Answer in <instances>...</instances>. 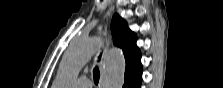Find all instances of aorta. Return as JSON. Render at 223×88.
Instances as JSON below:
<instances>
[{"label":"aorta","mask_w":223,"mask_h":88,"mask_svg":"<svg viewBox=\"0 0 223 88\" xmlns=\"http://www.w3.org/2000/svg\"><path fill=\"white\" fill-rule=\"evenodd\" d=\"M97 38L74 39L66 50L59 68L57 86L71 88L80 70L95 54ZM126 62L120 49L113 48L107 54L101 75L103 88H122Z\"/></svg>","instance_id":"1"}]
</instances>
